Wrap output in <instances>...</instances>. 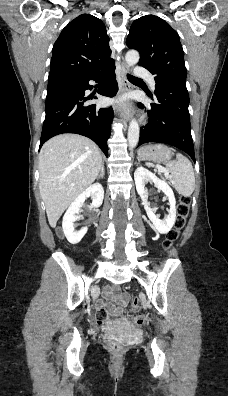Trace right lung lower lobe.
I'll return each instance as SVG.
<instances>
[{
    "mask_svg": "<svg viewBox=\"0 0 228 396\" xmlns=\"http://www.w3.org/2000/svg\"><path fill=\"white\" fill-rule=\"evenodd\" d=\"M114 70L115 62L86 78L61 79L48 83L40 147L58 134L76 133L92 139L107 155L113 109L89 105L85 103L89 97L84 95L85 90L93 88L88 82L95 80L104 81L99 94L113 97L118 91Z\"/></svg>",
    "mask_w": 228,
    "mask_h": 396,
    "instance_id": "98d812e1",
    "label": "right lung lower lobe"
}]
</instances>
